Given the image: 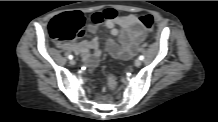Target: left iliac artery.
Listing matches in <instances>:
<instances>
[{
	"label": "left iliac artery",
	"instance_id": "1",
	"mask_svg": "<svg viewBox=\"0 0 218 122\" xmlns=\"http://www.w3.org/2000/svg\"><path fill=\"white\" fill-rule=\"evenodd\" d=\"M139 59H140V60H143V59H144V56H143V55L139 56Z\"/></svg>",
	"mask_w": 218,
	"mask_h": 122
}]
</instances>
